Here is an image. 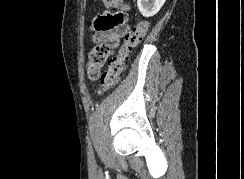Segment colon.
<instances>
[{"mask_svg": "<svg viewBox=\"0 0 244 179\" xmlns=\"http://www.w3.org/2000/svg\"><path fill=\"white\" fill-rule=\"evenodd\" d=\"M103 2L108 3V7L117 11L115 13L116 16L124 14L123 11L117 10L120 7L119 3L121 0H103ZM147 31L148 25L145 20H140L133 25L127 33L125 41L117 55L111 59L107 71L102 75L101 68L108 57V45L106 43H97L92 48L86 64V70L91 80H97L101 77L99 85L100 91L111 90L118 84L132 50L142 43Z\"/></svg>", "mask_w": 244, "mask_h": 179, "instance_id": "1", "label": "colon"}]
</instances>
